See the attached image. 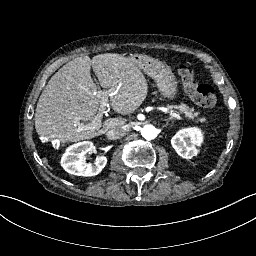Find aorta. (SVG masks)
<instances>
[{"label": "aorta", "instance_id": "762f6f07", "mask_svg": "<svg viewBox=\"0 0 256 256\" xmlns=\"http://www.w3.org/2000/svg\"><path fill=\"white\" fill-rule=\"evenodd\" d=\"M140 132H141L142 137L147 141L153 140L154 138H156V136L158 134V130H157L156 126L153 124L144 125L141 128Z\"/></svg>", "mask_w": 256, "mask_h": 256}]
</instances>
